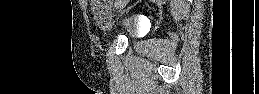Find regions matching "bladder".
Here are the masks:
<instances>
[{
  "instance_id": "obj_1",
  "label": "bladder",
  "mask_w": 259,
  "mask_h": 94,
  "mask_svg": "<svg viewBox=\"0 0 259 94\" xmlns=\"http://www.w3.org/2000/svg\"><path fill=\"white\" fill-rule=\"evenodd\" d=\"M92 14L99 28L107 33L119 28L130 38L138 35V23L132 19L124 20L121 23H116L115 17L106 3L93 5Z\"/></svg>"
}]
</instances>
